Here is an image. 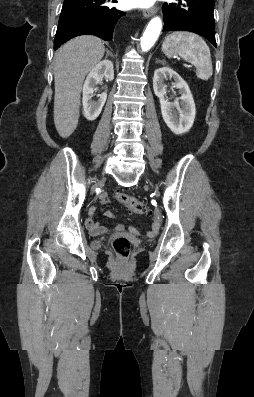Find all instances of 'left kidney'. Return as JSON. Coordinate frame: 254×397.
I'll return each mask as SVG.
<instances>
[{
    "mask_svg": "<svg viewBox=\"0 0 254 397\" xmlns=\"http://www.w3.org/2000/svg\"><path fill=\"white\" fill-rule=\"evenodd\" d=\"M167 77L173 78V85L181 94L174 102L166 97L167 85L164 79ZM153 89L160 100L162 116L169 129L176 135L187 133L193 126L196 114L194 99L187 83L171 68L162 67L154 72Z\"/></svg>",
    "mask_w": 254,
    "mask_h": 397,
    "instance_id": "1",
    "label": "left kidney"
}]
</instances>
